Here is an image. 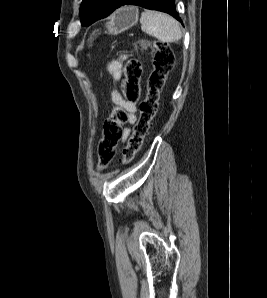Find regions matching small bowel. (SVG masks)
<instances>
[{"mask_svg":"<svg viewBox=\"0 0 267 298\" xmlns=\"http://www.w3.org/2000/svg\"><path fill=\"white\" fill-rule=\"evenodd\" d=\"M126 59V55H121L119 59L112 61L108 65V72L113 78L114 82H117L121 78V66L122 61ZM111 105L113 113L124 112L126 115V123L122 129L121 138L125 140L129 133V125L136 121V114L138 112V107L136 103L130 102L123 97L121 92L117 89L111 91Z\"/></svg>","mask_w":267,"mask_h":298,"instance_id":"1","label":"small bowel"}]
</instances>
